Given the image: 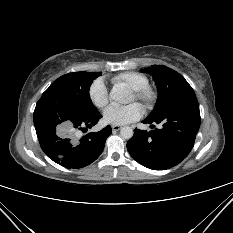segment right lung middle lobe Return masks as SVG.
I'll list each match as a JSON object with an SVG mask.
<instances>
[{
    "label": "right lung middle lobe",
    "mask_w": 233,
    "mask_h": 233,
    "mask_svg": "<svg viewBox=\"0 0 233 233\" xmlns=\"http://www.w3.org/2000/svg\"><path fill=\"white\" fill-rule=\"evenodd\" d=\"M101 72H74L55 80L43 93L42 97H50L76 113L88 114L96 112V107L89 97V88Z\"/></svg>",
    "instance_id": "right-lung-middle-lobe-1"
}]
</instances>
